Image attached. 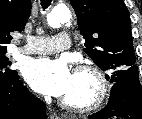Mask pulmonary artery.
Listing matches in <instances>:
<instances>
[{"mask_svg": "<svg viewBox=\"0 0 142 119\" xmlns=\"http://www.w3.org/2000/svg\"><path fill=\"white\" fill-rule=\"evenodd\" d=\"M70 45V36L61 33L54 37H31L19 50L26 54H47L65 50Z\"/></svg>", "mask_w": 142, "mask_h": 119, "instance_id": "1", "label": "pulmonary artery"}]
</instances>
